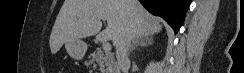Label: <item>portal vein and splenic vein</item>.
Wrapping results in <instances>:
<instances>
[{
	"label": "portal vein and splenic vein",
	"mask_w": 244,
	"mask_h": 73,
	"mask_svg": "<svg viewBox=\"0 0 244 73\" xmlns=\"http://www.w3.org/2000/svg\"><path fill=\"white\" fill-rule=\"evenodd\" d=\"M103 50L107 53V52H110V50H111V45H110V43L109 42H107V40H105L104 42H103Z\"/></svg>",
	"instance_id": "portal-vein-and-splenic-vein-1"
}]
</instances>
